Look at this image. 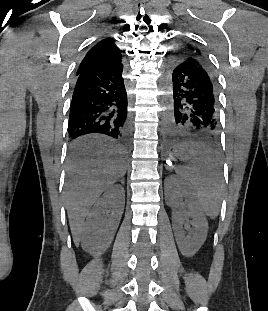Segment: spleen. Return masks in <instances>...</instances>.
I'll return each mask as SVG.
<instances>
[{
  "label": "spleen",
  "instance_id": "obj_1",
  "mask_svg": "<svg viewBox=\"0 0 268 311\" xmlns=\"http://www.w3.org/2000/svg\"><path fill=\"white\" fill-rule=\"evenodd\" d=\"M174 152L179 159L191 163L190 166L176 168L177 174L193 185L205 214L216 218L222 200V169L216 148H206L205 144L197 141L196 144L182 145Z\"/></svg>",
  "mask_w": 268,
  "mask_h": 311
}]
</instances>
